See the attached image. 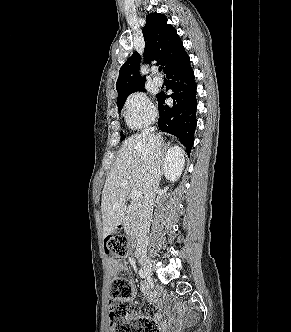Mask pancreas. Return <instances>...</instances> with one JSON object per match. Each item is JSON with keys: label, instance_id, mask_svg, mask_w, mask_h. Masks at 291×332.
Here are the masks:
<instances>
[{"label": "pancreas", "instance_id": "obj_1", "mask_svg": "<svg viewBox=\"0 0 291 332\" xmlns=\"http://www.w3.org/2000/svg\"><path fill=\"white\" fill-rule=\"evenodd\" d=\"M139 207L138 205H131L126 208L125 216L123 220L124 230L129 233L135 229L137 225Z\"/></svg>", "mask_w": 291, "mask_h": 332}]
</instances>
